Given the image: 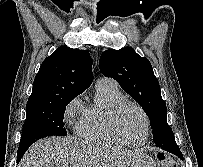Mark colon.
Segmentation results:
<instances>
[{
    "label": "colon",
    "instance_id": "colon-1",
    "mask_svg": "<svg viewBox=\"0 0 203 167\" xmlns=\"http://www.w3.org/2000/svg\"><path fill=\"white\" fill-rule=\"evenodd\" d=\"M157 167H177V166L170 157H168L164 154H161L158 157Z\"/></svg>",
    "mask_w": 203,
    "mask_h": 167
}]
</instances>
